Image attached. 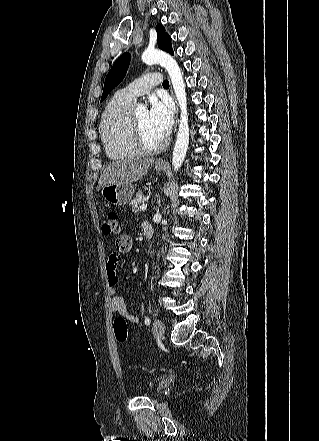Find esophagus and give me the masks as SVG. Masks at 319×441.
I'll list each match as a JSON object with an SVG mask.
<instances>
[{"label": "esophagus", "instance_id": "obj_1", "mask_svg": "<svg viewBox=\"0 0 319 441\" xmlns=\"http://www.w3.org/2000/svg\"><path fill=\"white\" fill-rule=\"evenodd\" d=\"M171 92H172L173 98L175 99V103H176V107H177V109H176V114L178 115L177 101H176V98H175V96H174L172 90H171ZM176 122H177V120H176ZM156 163H157L158 165H164V164H165V161H164L163 159H159Z\"/></svg>", "mask_w": 319, "mask_h": 441}]
</instances>
